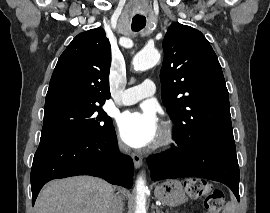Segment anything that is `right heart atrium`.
I'll list each match as a JSON object with an SVG mask.
<instances>
[{"instance_id":"1","label":"right heart atrium","mask_w":270,"mask_h":213,"mask_svg":"<svg viewBox=\"0 0 270 213\" xmlns=\"http://www.w3.org/2000/svg\"><path fill=\"white\" fill-rule=\"evenodd\" d=\"M117 146L121 151L125 149L124 146L120 142H118Z\"/></svg>"}]
</instances>
